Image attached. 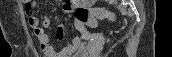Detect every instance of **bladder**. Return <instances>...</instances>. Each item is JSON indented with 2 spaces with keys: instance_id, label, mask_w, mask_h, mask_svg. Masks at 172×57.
Returning a JSON list of instances; mask_svg holds the SVG:
<instances>
[{
  "instance_id": "31cf9c89",
  "label": "bladder",
  "mask_w": 172,
  "mask_h": 57,
  "mask_svg": "<svg viewBox=\"0 0 172 57\" xmlns=\"http://www.w3.org/2000/svg\"><path fill=\"white\" fill-rule=\"evenodd\" d=\"M72 57H91V56L89 55V52H85V53L75 54Z\"/></svg>"
}]
</instances>
